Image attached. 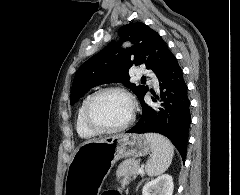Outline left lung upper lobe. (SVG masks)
<instances>
[{
	"mask_svg": "<svg viewBox=\"0 0 240 195\" xmlns=\"http://www.w3.org/2000/svg\"><path fill=\"white\" fill-rule=\"evenodd\" d=\"M120 41H131L134 46L123 50L112 41L101 52L91 57L76 72L71 89V104L78 101L89 89L112 82L124 83L144 103L148 86L129 82L132 66L144 65L155 74L172 55L167 44L157 32L143 23H130L118 31Z\"/></svg>",
	"mask_w": 240,
	"mask_h": 195,
	"instance_id": "1",
	"label": "left lung upper lobe"
}]
</instances>
